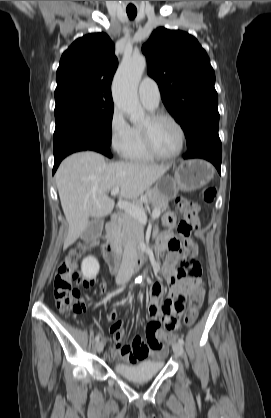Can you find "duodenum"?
Listing matches in <instances>:
<instances>
[{
	"label": "duodenum",
	"mask_w": 271,
	"mask_h": 418,
	"mask_svg": "<svg viewBox=\"0 0 271 418\" xmlns=\"http://www.w3.org/2000/svg\"><path fill=\"white\" fill-rule=\"evenodd\" d=\"M118 217V213L116 212L110 214V221L106 229V239L105 243L103 244L104 258L112 271L118 269L121 259V251L117 240L116 231V222L118 220ZM147 251L148 249L146 247H142L136 251L133 259V268L135 270H138L142 266Z\"/></svg>",
	"instance_id": "obj_1"
}]
</instances>
